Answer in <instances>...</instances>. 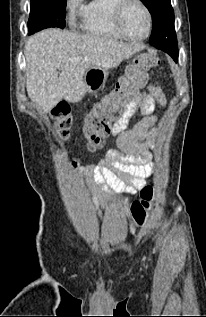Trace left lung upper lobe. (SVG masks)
I'll use <instances>...</instances> for the list:
<instances>
[{"mask_svg": "<svg viewBox=\"0 0 206 317\" xmlns=\"http://www.w3.org/2000/svg\"><path fill=\"white\" fill-rule=\"evenodd\" d=\"M153 19V30L149 43L153 46L164 43L177 45L174 28V12L170 0H141Z\"/></svg>", "mask_w": 206, "mask_h": 317, "instance_id": "5c2ea615", "label": "left lung upper lobe"}]
</instances>
